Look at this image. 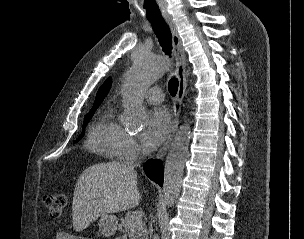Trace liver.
<instances>
[{
    "label": "liver",
    "mask_w": 304,
    "mask_h": 239,
    "mask_svg": "<svg viewBox=\"0 0 304 239\" xmlns=\"http://www.w3.org/2000/svg\"><path fill=\"white\" fill-rule=\"evenodd\" d=\"M141 196L137 172L120 162L92 165L79 176L73 194V228L80 232L98 217L129 210Z\"/></svg>",
    "instance_id": "obj_1"
}]
</instances>
